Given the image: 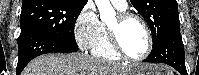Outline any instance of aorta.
I'll list each match as a JSON object with an SVG mask.
<instances>
[{
    "label": "aorta",
    "instance_id": "762f6f07",
    "mask_svg": "<svg viewBox=\"0 0 199 75\" xmlns=\"http://www.w3.org/2000/svg\"><path fill=\"white\" fill-rule=\"evenodd\" d=\"M96 6L100 12V18L104 22L115 19L116 12L110 4V0H95Z\"/></svg>",
    "mask_w": 199,
    "mask_h": 75
}]
</instances>
